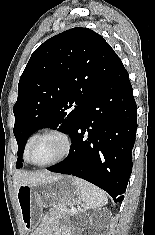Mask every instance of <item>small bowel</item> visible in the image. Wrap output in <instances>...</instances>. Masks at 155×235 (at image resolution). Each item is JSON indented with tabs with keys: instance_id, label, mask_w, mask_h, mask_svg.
I'll use <instances>...</instances> for the list:
<instances>
[{
	"instance_id": "small-bowel-1",
	"label": "small bowel",
	"mask_w": 155,
	"mask_h": 235,
	"mask_svg": "<svg viewBox=\"0 0 155 235\" xmlns=\"http://www.w3.org/2000/svg\"><path fill=\"white\" fill-rule=\"evenodd\" d=\"M37 235H70L66 218L51 212L40 225Z\"/></svg>"
}]
</instances>
